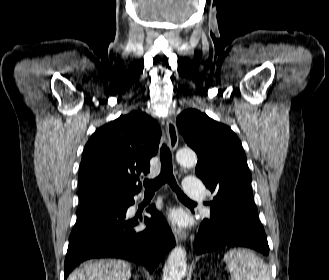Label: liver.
<instances>
[{
    "label": "liver",
    "instance_id": "liver-1",
    "mask_svg": "<svg viewBox=\"0 0 329 280\" xmlns=\"http://www.w3.org/2000/svg\"><path fill=\"white\" fill-rule=\"evenodd\" d=\"M131 268L129 263L116 260H99L87 262L74 271L67 280H129Z\"/></svg>",
    "mask_w": 329,
    "mask_h": 280
}]
</instances>
